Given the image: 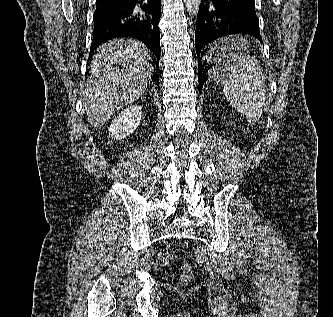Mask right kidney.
Listing matches in <instances>:
<instances>
[{
  "label": "right kidney",
  "mask_w": 333,
  "mask_h": 317,
  "mask_svg": "<svg viewBox=\"0 0 333 317\" xmlns=\"http://www.w3.org/2000/svg\"><path fill=\"white\" fill-rule=\"evenodd\" d=\"M142 107L132 105L123 110L111 123L109 136L122 140L132 134L140 124Z\"/></svg>",
  "instance_id": "obj_1"
}]
</instances>
